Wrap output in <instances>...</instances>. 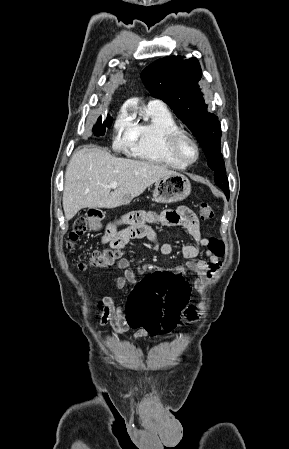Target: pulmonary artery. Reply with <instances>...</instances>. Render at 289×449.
Instances as JSON below:
<instances>
[{
	"instance_id": "e3ab8cb5",
	"label": "pulmonary artery",
	"mask_w": 289,
	"mask_h": 449,
	"mask_svg": "<svg viewBox=\"0 0 289 449\" xmlns=\"http://www.w3.org/2000/svg\"><path fill=\"white\" fill-rule=\"evenodd\" d=\"M149 104H154V105H164L162 101L160 100H151L149 102Z\"/></svg>"
}]
</instances>
